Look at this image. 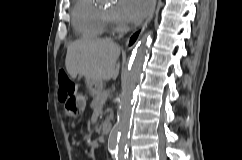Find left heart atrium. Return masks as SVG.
<instances>
[{
    "label": "left heart atrium",
    "mask_w": 242,
    "mask_h": 160,
    "mask_svg": "<svg viewBox=\"0 0 242 160\" xmlns=\"http://www.w3.org/2000/svg\"><path fill=\"white\" fill-rule=\"evenodd\" d=\"M152 0H119L116 4L115 19L123 24L140 22L149 12Z\"/></svg>",
    "instance_id": "1"
}]
</instances>
